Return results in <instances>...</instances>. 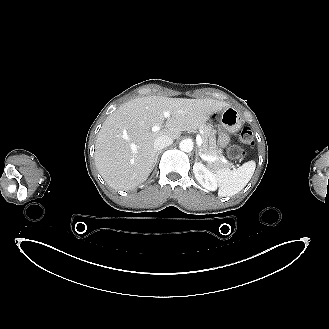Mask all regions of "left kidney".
<instances>
[{
    "instance_id": "5707ae66",
    "label": "left kidney",
    "mask_w": 329,
    "mask_h": 329,
    "mask_svg": "<svg viewBox=\"0 0 329 329\" xmlns=\"http://www.w3.org/2000/svg\"><path fill=\"white\" fill-rule=\"evenodd\" d=\"M193 172L202 187L210 191L217 189L218 184L214 174L204 164L195 162Z\"/></svg>"
}]
</instances>
